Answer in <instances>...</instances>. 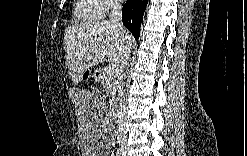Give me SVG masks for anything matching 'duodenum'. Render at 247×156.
<instances>
[{
  "label": "duodenum",
  "instance_id": "obj_1",
  "mask_svg": "<svg viewBox=\"0 0 247 156\" xmlns=\"http://www.w3.org/2000/svg\"><path fill=\"white\" fill-rule=\"evenodd\" d=\"M113 107H114V108H116V101H114V103H113Z\"/></svg>",
  "mask_w": 247,
  "mask_h": 156
}]
</instances>
